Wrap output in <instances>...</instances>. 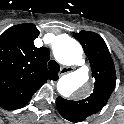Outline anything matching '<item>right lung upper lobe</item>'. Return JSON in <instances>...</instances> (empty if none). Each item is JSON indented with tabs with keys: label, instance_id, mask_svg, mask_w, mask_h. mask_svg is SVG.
Segmentation results:
<instances>
[{
	"label": "right lung upper lobe",
	"instance_id": "right-lung-upper-lobe-1",
	"mask_svg": "<svg viewBox=\"0 0 124 124\" xmlns=\"http://www.w3.org/2000/svg\"><path fill=\"white\" fill-rule=\"evenodd\" d=\"M39 31L32 23L15 25L0 36V107L14 110L29 102L47 80L58 75L47 69L50 53L37 48Z\"/></svg>",
	"mask_w": 124,
	"mask_h": 124
}]
</instances>
